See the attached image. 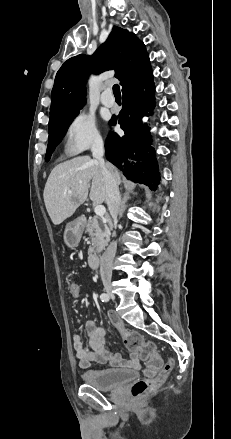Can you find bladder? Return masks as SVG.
<instances>
[{
    "label": "bladder",
    "instance_id": "bladder-1",
    "mask_svg": "<svg viewBox=\"0 0 231 439\" xmlns=\"http://www.w3.org/2000/svg\"><path fill=\"white\" fill-rule=\"evenodd\" d=\"M137 375L134 370L105 369L88 370L81 377L84 383L96 389L113 390L135 379Z\"/></svg>",
    "mask_w": 231,
    "mask_h": 439
}]
</instances>
